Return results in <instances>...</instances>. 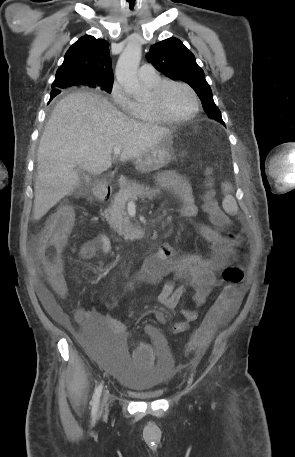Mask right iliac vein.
<instances>
[{
	"mask_svg": "<svg viewBox=\"0 0 295 457\" xmlns=\"http://www.w3.org/2000/svg\"><path fill=\"white\" fill-rule=\"evenodd\" d=\"M108 408V394L105 393L101 400V409L106 410Z\"/></svg>",
	"mask_w": 295,
	"mask_h": 457,
	"instance_id": "obj_1",
	"label": "right iliac vein"
}]
</instances>
